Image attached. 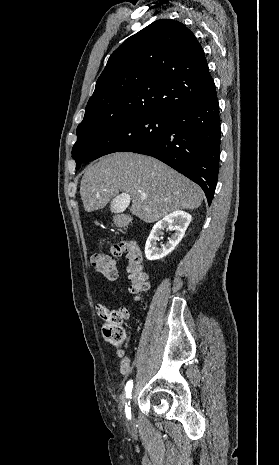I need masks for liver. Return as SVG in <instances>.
Returning a JSON list of instances; mask_svg holds the SVG:
<instances>
[{
	"mask_svg": "<svg viewBox=\"0 0 279 465\" xmlns=\"http://www.w3.org/2000/svg\"><path fill=\"white\" fill-rule=\"evenodd\" d=\"M119 192L129 195L130 212L147 223L178 210L196 209L203 199L197 184L146 155L114 153L86 167L80 184L86 212L104 208L111 199L118 198ZM142 194H146V199Z\"/></svg>",
	"mask_w": 279,
	"mask_h": 465,
	"instance_id": "6515ba94",
	"label": "liver"
}]
</instances>
